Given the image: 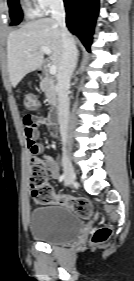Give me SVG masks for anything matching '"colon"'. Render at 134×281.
Returning <instances> with one entry per match:
<instances>
[{"label":"colon","mask_w":134,"mask_h":281,"mask_svg":"<svg viewBox=\"0 0 134 281\" xmlns=\"http://www.w3.org/2000/svg\"><path fill=\"white\" fill-rule=\"evenodd\" d=\"M24 105L28 110L38 107V99L35 94L28 93L24 98ZM31 194L38 204L56 202L74 210L82 218H91L94 215L92 204L83 198L76 197H55L48 182L47 173L44 168L35 166L32 168L30 179ZM111 235L110 227H101L92 234V243L101 244L109 239Z\"/></svg>","instance_id":"5ec220e1"}]
</instances>
